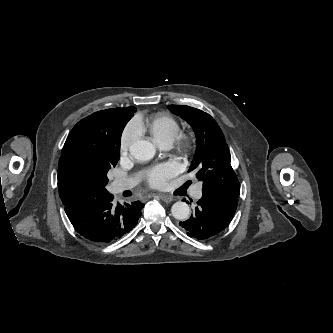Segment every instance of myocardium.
<instances>
[{"mask_svg": "<svg viewBox=\"0 0 333 333\" xmlns=\"http://www.w3.org/2000/svg\"><path fill=\"white\" fill-rule=\"evenodd\" d=\"M179 148L183 153H189L194 147V140L191 135H182L178 139Z\"/></svg>", "mask_w": 333, "mask_h": 333, "instance_id": "1", "label": "myocardium"}]
</instances>
